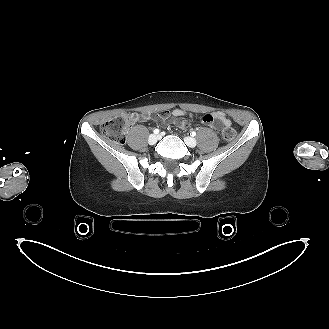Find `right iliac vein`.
<instances>
[{
	"mask_svg": "<svg viewBox=\"0 0 329 329\" xmlns=\"http://www.w3.org/2000/svg\"><path fill=\"white\" fill-rule=\"evenodd\" d=\"M159 139H160V135H154V134H152L148 138V143L150 145H154Z\"/></svg>",
	"mask_w": 329,
	"mask_h": 329,
	"instance_id": "obj_1",
	"label": "right iliac vein"
}]
</instances>
